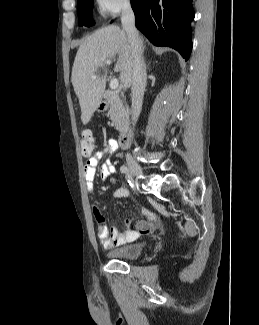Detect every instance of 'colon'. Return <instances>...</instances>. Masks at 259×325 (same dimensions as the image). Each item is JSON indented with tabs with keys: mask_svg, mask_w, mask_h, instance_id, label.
Returning <instances> with one entry per match:
<instances>
[{
	"mask_svg": "<svg viewBox=\"0 0 259 325\" xmlns=\"http://www.w3.org/2000/svg\"><path fill=\"white\" fill-rule=\"evenodd\" d=\"M80 149L83 156H90L94 150V139L91 131L84 130L80 135ZM137 230L142 234H152L159 230L158 222L154 219L146 221H138L136 223Z\"/></svg>",
	"mask_w": 259,
	"mask_h": 325,
	"instance_id": "1",
	"label": "colon"
}]
</instances>
